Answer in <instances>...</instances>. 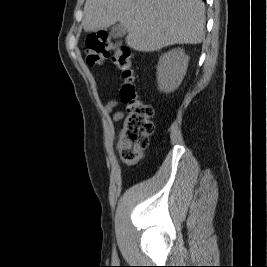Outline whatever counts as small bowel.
<instances>
[{
	"instance_id": "small-bowel-1",
	"label": "small bowel",
	"mask_w": 267,
	"mask_h": 267,
	"mask_svg": "<svg viewBox=\"0 0 267 267\" xmlns=\"http://www.w3.org/2000/svg\"><path fill=\"white\" fill-rule=\"evenodd\" d=\"M117 105V102L115 100L109 101L106 105H105V110L108 113H112L113 109L115 108V106ZM122 113L117 111L115 113H113V120L118 121L122 118Z\"/></svg>"
}]
</instances>
